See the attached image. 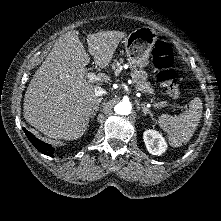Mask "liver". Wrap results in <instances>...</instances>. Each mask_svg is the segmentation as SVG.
Segmentation results:
<instances>
[{"label":"liver","instance_id":"6515ba94","mask_svg":"<svg viewBox=\"0 0 221 221\" xmlns=\"http://www.w3.org/2000/svg\"><path fill=\"white\" fill-rule=\"evenodd\" d=\"M126 35L109 30L89 34L86 40L94 63L107 68ZM89 62L78 31L60 36L29 83L24 98L25 120L50 138H80L96 106L97 85L86 75ZM99 78L100 84L110 80L107 75Z\"/></svg>","mask_w":221,"mask_h":221}]
</instances>
